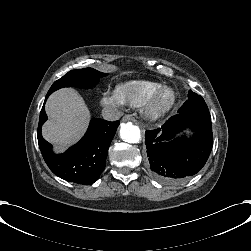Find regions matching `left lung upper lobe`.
Returning <instances> with one entry per match:
<instances>
[{
  "label": "left lung upper lobe",
  "instance_id": "obj_1",
  "mask_svg": "<svg viewBox=\"0 0 251 251\" xmlns=\"http://www.w3.org/2000/svg\"><path fill=\"white\" fill-rule=\"evenodd\" d=\"M184 110H198L209 114V110L204 99L191 90L188 93V100L179 108L178 111Z\"/></svg>",
  "mask_w": 251,
  "mask_h": 251
}]
</instances>
